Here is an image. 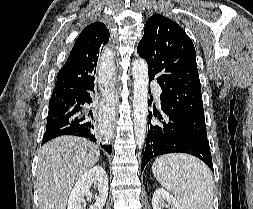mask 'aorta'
<instances>
[{
  "label": "aorta",
  "mask_w": 253,
  "mask_h": 209,
  "mask_svg": "<svg viewBox=\"0 0 253 209\" xmlns=\"http://www.w3.org/2000/svg\"><path fill=\"white\" fill-rule=\"evenodd\" d=\"M134 79L133 123L135 141L139 148L145 142L148 107V65L144 59H137L132 65Z\"/></svg>",
  "instance_id": "1"
}]
</instances>
